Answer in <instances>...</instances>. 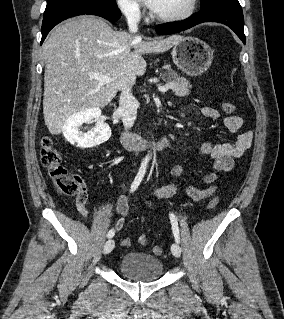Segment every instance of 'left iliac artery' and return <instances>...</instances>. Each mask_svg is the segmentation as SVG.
I'll list each match as a JSON object with an SVG mask.
<instances>
[{
	"label": "left iliac artery",
	"mask_w": 284,
	"mask_h": 319,
	"mask_svg": "<svg viewBox=\"0 0 284 319\" xmlns=\"http://www.w3.org/2000/svg\"><path fill=\"white\" fill-rule=\"evenodd\" d=\"M169 217H170V221H171V224H172V230H173V234H174L175 240H176L177 243H179L180 242V237H179V228H178L177 218L172 212H170Z\"/></svg>",
	"instance_id": "1"
}]
</instances>
